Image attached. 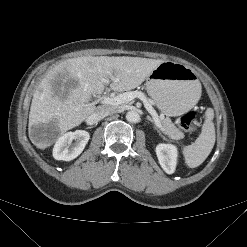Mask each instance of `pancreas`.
Returning <instances> with one entry per match:
<instances>
[{
  "label": "pancreas",
  "instance_id": "cf45deb5",
  "mask_svg": "<svg viewBox=\"0 0 247 247\" xmlns=\"http://www.w3.org/2000/svg\"><path fill=\"white\" fill-rule=\"evenodd\" d=\"M138 92V91H137ZM148 102L151 103V99L147 98ZM162 127L165 133L172 139L179 140L184 138V133L181 132L172 122L170 118H163Z\"/></svg>",
  "mask_w": 247,
  "mask_h": 247
}]
</instances>
